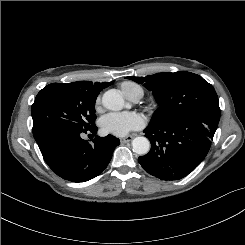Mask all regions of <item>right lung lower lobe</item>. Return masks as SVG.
Wrapping results in <instances>:
<instances>
[{
    "mask_svg": "<svg viewBox=\"0 0 245 245\" xmlns=\"http://www.w3.org/2000/svg\"><path fill=\"white\" fill-rule=\"evenodd\" d=\"M94 126L85 132L54 129L37 141L47 165L58 176L73 182H84L98 176L109 164L118 138L96 136L93 145L81 138L82 133L96 135Z\"/></svg>",
    "mask_w": 245,
    "mask_h": 245,
    "instance_id": "right-lung-lower-lobe-1",
    "label": "right lung lower lobe"
}]
</instances>
